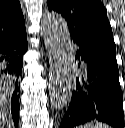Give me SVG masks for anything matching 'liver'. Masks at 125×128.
I'll list each match as a JSON object with an SVG mask.
<instances>
[{"label":"liver","mask_w":125,"mask_h":128,"mask_svg":"<svg viewBox=\"0 0 125 128\" xmlns=\"http://www.w3.org/2000/svg\"><path fill=\"white\" fill-rule=\"evenodd\" d=\"M10 95L8 89L0 83V128H13L9 113Z\"/></svg>","instance_id":"obj_1"}]
</instances>
